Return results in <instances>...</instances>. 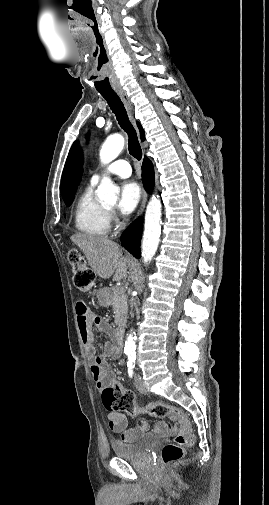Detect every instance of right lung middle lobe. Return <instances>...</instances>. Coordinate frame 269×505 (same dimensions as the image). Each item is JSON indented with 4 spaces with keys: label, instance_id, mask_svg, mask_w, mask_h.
Instances as JSON below:
<instances>
[{
    "label": "right lung middle lobe",
    "instance_id": "right-lung-middle-lobe-1",
    "mask_svg": "<svg viewBox=\"0 0 269 505\" xmlns=\"http://www.w3.org/2000/svg\"><path fill=\"white\" fill-rule=\"evenodd\" d=\"M64 202H65V204H66L67 206H70V205H71V203L73 202V197H72V198H70V199H68V200H64Z\"/></svg>",
    "mask_w": 269,
    "mask_h": 505
}]
</instances>
